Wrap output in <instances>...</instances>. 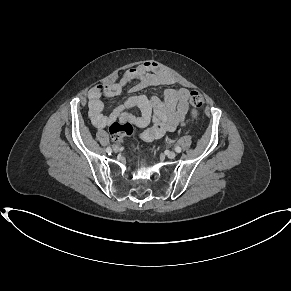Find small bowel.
<instances>
[{"instance_id": "1", "label": "small bowel", "mask_w": 291, "mask_h": 291, "mask_svg": "<svg viewBox=\"0 0 291 291\" xmlns=\"http://www.w3.org/2000/svg\"><path fill=\"white\" fill-rule=\"evenodd\" d=\"M134 81H137V84L131 88L132 92L149 86H170L176 82L175 78L158 64L146 62L126 70L117 82L92 87L88 95V109L95 127L105 128L116 120L129 122L139 128H145L139 134V138L151 142L162 137L166 132L175 130L183 123L189 109V90L186 88H167L162 98L132 96L110 113H105L103 98L120 95ZM131 107L139 108L141 114L135 116L127 112Z\"/></svg>"}]
</instances>
